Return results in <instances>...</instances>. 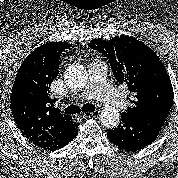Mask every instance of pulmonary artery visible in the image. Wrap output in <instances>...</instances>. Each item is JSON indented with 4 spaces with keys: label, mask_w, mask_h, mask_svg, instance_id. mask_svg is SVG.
<instances>
[{
    "label": "pulmonary artery",
    "mask_w": 178,
    "mask_h": 178,
    "mask_svg": "<svg viewBox=\"0 0 178 178\" xmlns=\"http://www.w3.org/2000/svg\"><path fill=\"white\" fill-rule=\"evenodd\" d=\"M89 79L85 88L81 92L83 99H99L100 101L123 107L125 105L124 96L107 80V66L100 59H94L88 64Z\"/></svg>",
    "instance_id": "obj_1"
}]
</instances>
